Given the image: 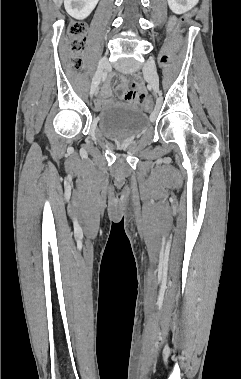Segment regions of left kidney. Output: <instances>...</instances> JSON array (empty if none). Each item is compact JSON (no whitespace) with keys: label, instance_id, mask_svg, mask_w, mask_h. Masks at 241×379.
Masks as SVG:
<instances>
[{"label":"left kidney","instance_id":"1","mask_svg":"<svg viewBox=\"0 0 241 379\" xmlns=\"http://www.w3.org/2000/svg\"><path fill=\"white\" fill-rule=\"evenodd\" d=\"M172 12L183 14L191 10L199 0H167Z\"/></svg>","mask_w":241,"mask_h":379}]
</instances>
